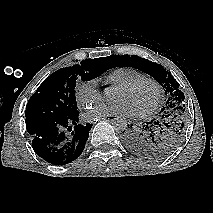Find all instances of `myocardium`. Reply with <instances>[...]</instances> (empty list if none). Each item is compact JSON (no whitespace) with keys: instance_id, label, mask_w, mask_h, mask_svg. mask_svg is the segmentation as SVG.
Wrapping results in <instances>:
<instances>
[{"instance_id":"obj_1","label":"myocardium","mask_w":213,"mask_h":213,"mask_svg":"<svg viewBox=\"0 0 213 213\" xmlns=\"http://www.w3.org/2000/svg\"><path fill=\"white\" fill-rule=\"evenodd\" d=\"M145 83L151 84L154 87L155 100L148 109L141 112H134L133 115L137 118H145L158 110L162 97V89L160 84L153 78L143 77L117 87V89L131 90Z\"/></svg>"}]
</instances>
